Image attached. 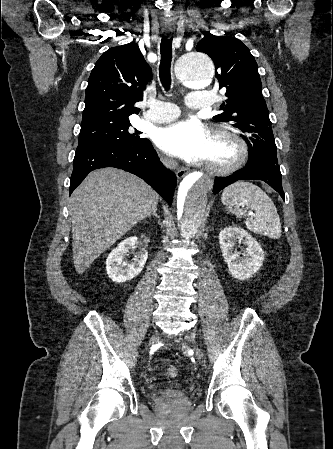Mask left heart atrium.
<instances>
[{
    "mask_svg": "<svg viewBox=\"0 0 333 449\" xmlns=\"http://www.w3.org/2000/svg\"><path fill=\"white\" fill-rule=\"evenodd\" d=\"M154 140L168 155L194 163L205 160L211 136L197 121L182 120L160 128Z\"/></svg>",
    "mask_w": 333,
    "mask_h": 449,
    "instance_id": "obj_1",
    "label": "left heart atrium"
}]
</instances>
